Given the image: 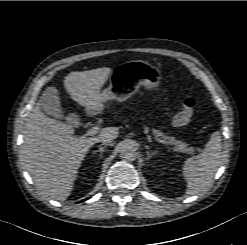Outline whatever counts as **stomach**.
I'll return each instance as SVG.
<instances>
[{
	"instance_id": "stomach-1",
	"label": "stomach",
	"mask_w": 247,
	"mask_h": 245,
	"mask_svg": "<svg viewBox=\"0 0 247 245\" xmlns=\"http://www.w3.org/2000/svg\"><path fill=\"white\" fill-rule=\"evenodd\" d=\"M162 75L158 68L143 60L121 63L112 70L110 85L103 92V102L108 100L125 101L135 94L141 86L157 90Z\"/></svg>"
}]
</instances>
